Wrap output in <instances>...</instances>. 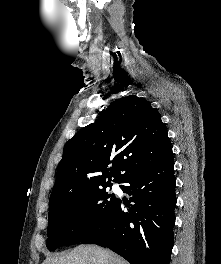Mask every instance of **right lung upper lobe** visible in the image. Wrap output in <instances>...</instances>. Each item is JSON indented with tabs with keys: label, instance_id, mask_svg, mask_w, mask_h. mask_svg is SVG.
<instances>
[{
	"label": "right lung upper lobe",
	"instance_id": "obj_1",
	"mask_svg": "<svg viewBox=\"0 0 221 264\" xmlns=\"http://www.w3.org/2000/svg\"><path fill=\"white\" fill-rule=\"evenodd\" d=\"M65 145L50 209L71 194L121 183L172 154L160 114L143 98H120Z\"/></svg>",
	"mask_w": 221,
	"mask_h": 264
}]
</instances>
